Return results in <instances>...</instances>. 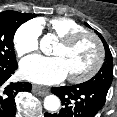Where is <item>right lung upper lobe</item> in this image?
Returning a JSON list of instances; mask_svg holds the SVG:
<instances>
[{"label":"right lung upper lobe","mask_w":117,"mask_h":117,"mask_svg":"<svg viewBox=\"0 0 117 117\" xmlns=\"http://www.w3.org/2000/svg\"><path fill=\"white\" fill-rule=\"evenodd\" d=\"M30 15L35 16L36 14H30Z\"/></svg>","instance_id":"right-lung-upper-lobe-1"}]
</instances>
